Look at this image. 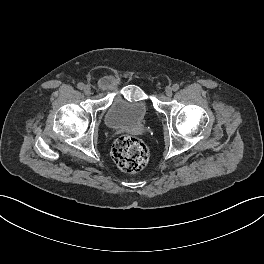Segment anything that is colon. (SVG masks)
<instances>
[{"label": "colon", "instance_id": "colon-1", "mask_svg": "<svg viewBox=\"0 0 264 264\" xmlns=\"http://www.w3.org/2000/svg\"><path fill=\"white\" fill-rule=\"evenodd\" d=\"M111 154L117 166L128 173L140 172L149 160L147 146L129 135H123L114 142Z\"/></svg>", "mask_w": 264, "mask_h": 264}]
</instances>
